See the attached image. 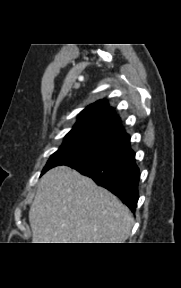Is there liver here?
Returning <instances> with one entry per match:
<instances>
[{
  "label": "liver",
  "instance_id": "obj_1",
  "mask_svg": "<svg viewBox=\"0 0 181 288\" xmlns=\"http://www.w3.org/2000/svg\"><path fill=\"white\" fill-rule=\"evenodd\" d=\"M29 222L33 243H124L134 219L91 178L58 166L40 179Z\"/></svg>",
  "mask_w": 181,
  "mask_h": 288
}]
</instances>
